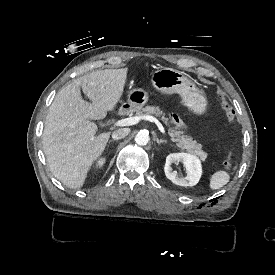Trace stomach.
Segmentation results:
<instances>
[{"mask_svg":"<svg viewBox=\"0 0 275 275\" xmlns=\"http://www.w3.org/2000/svg\"><path fill=\"white\" fill-rule=\"evenodd\" d=\"M147 82L161 94H178L180 103L188 108L193 114L202 115L209 109V101L206 93L198 87L195 82L183 72L173 69L149 68L144 73ZM150 95L144 88H134L129 91L127 102L121 106V111L138 112L149 102Z\"/></svg>","mask_w":275,"mask_h":275,"instance_id":"1","label":"stomach"}]
</instances>
